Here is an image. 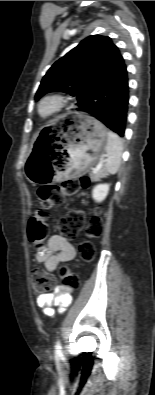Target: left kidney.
<instances>
[{
  "mask_svg": "<svg viewBox=\"0 0 155 395\" xmlns=\"http://www.w3.org/2000/svg\"><path fill=\"white\" fill-rule=\"evenodd\" d=\"M109 184H98L92 191V197L96 202H102L108 195Z\"/></svg>",
  "mask_w": 155,
  "mask_h": 395,
  "instance_id": "left-kidney-1",
  "label": "left kidney"
}]
</instances>
